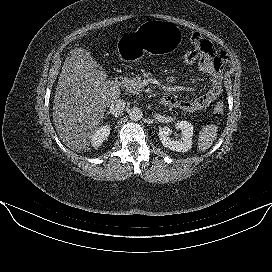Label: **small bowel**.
Returning <instances> with one entry per match:
<instances>
[{
	"mask_svg": "<svg viewBox=\"0 0 272 272\" xmlns=\"http://www.w3.org/2000/svg\"><path fill=\"white\" fill-rule=\"evenodd\" d=\"M190 40L200 54L197 68L210 77V87L203 95L193 99H177L173 96L166 97L168 99V106L179 108L185 112H196L207 108L220 95L223 79L222 70L226 60V54L215 48L208 40L199 34H192Z\"/></svg>",
	"mask_w": 272,
	"mask_h": 272,
	"instance_id": "obj_1",
	"label": "small bowel"
}]
</instances>
